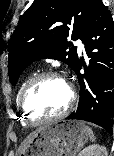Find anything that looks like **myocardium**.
<instances>
[{"label":"myocardium","mask_w":114,"mask_h":156,"mask_svg":"<svg viewBox=\"0 0 114 156\" xmlns=\"http://www.w3.org/2000/svg\"><path fill=\"white\" fill-rule=\"evenodd\" d=\"M46 78H59V79H62L66 83L68 90H69L68 103L65 106V108L58 114H55V115L49 116V117H44V118H33L25 108L24 99H25V96L27 95V93L29 92V90L35 84H37L39 81L46 79ZM75 100H76L75 90L68 82H66L58 73H56L54 71H45V72L36 74L35 76L30 78L26 82V84L22 88V90L19 94V97H18V107L20 108V111L23 115L24 121L29 125L35 126V125L58 120V119L65 117L70 112L72 107L74 106Z\"/></svg>","instance_id":"myocardium-1"}]
</instances>
